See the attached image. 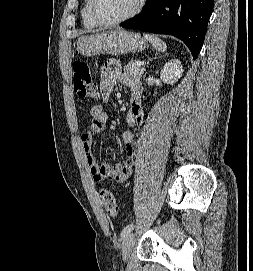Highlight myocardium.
Segmentation results:
<instances>
[{"mask_svg": "<svg viewBox=\"0 0 253 271\" xmlns=\"http://www.w3.org/2000/svg\"><path fill=\"white\" fill-rule=\"evenodd\" d=\"M146 1L147 0H138L137 5L130 13H128L127 15H125L119 19L111 20V21L104 20L99 15L98 10H97V0H91L90 11H91V15H92L93 19L95 20V22L97 24L104 26V27H111V26L121 24V23L128 21V20L134 18L135 16H137L144 8Z\"/></svg>", "mask_w": 253, "mask_h": 271, "instance_id": "f54148a6", "label": "myocardium"}]
</instances>
